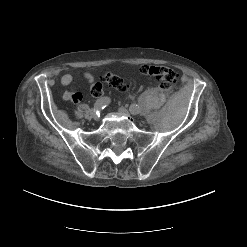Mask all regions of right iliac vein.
<instances>
[{"label": "right iliac vein", "instance_id": "63e3f726", "mask_svg": "<svg viewBox=\"0 0 247 247\" xmlns=\"http://www.w3.org/2000/svg\"><path fill=\"white\" fill-rule=\"evenodd\" d=\"M91 116H92V118L94 119V120H98V114L96 113V111L95 110H92L91 111Z\"/></svg>", "mask_w": 247, "mask_h": 247}]
</instances>
